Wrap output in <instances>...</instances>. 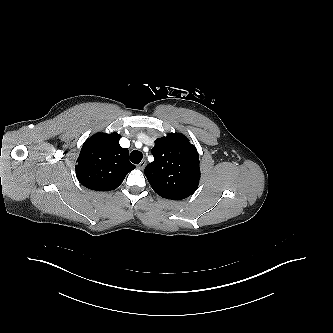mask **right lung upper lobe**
<instances>
[{"label":"right lung upper lobe","instance_id":"cb5924a9","mask_svg":"<svg viewBox=\"0 0 333 333\" xmlns=\"http://www.w3.org/2000/svg\"><path fill=\"white\" fill-rule=\"evenodd\" d=\"M120 135L96 133L88 138L75 166L79 182L97 191L116 189L135 166L129 162L128 149L119 145Z\"/></svg>","mask_w":333,"mask_h":333}]
</instances>
